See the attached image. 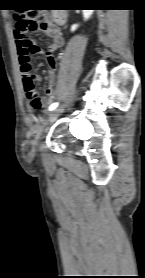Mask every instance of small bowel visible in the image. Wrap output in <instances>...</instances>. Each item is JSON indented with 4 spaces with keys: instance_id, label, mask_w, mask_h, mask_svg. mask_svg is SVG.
<instances>
[{
    "instance_id": "obj_1",
    "label": "small bowel",
    "mask_w": 145,
    "mask_h": 278,
    "mask_svg": "<svg viewBox=\"0 0 145 278\" xmlns=\"http://www.w3.org/2000/svg\"><path fill=\"white\" fill-rule=\"evenodd\" d=\"M46 35L51 39L50 44L47 46V49L45 51V58L47 60V64L49 66V88L47 89V94L50 95L53 89L54 84L56 83V67H57V61L53 55L52 59H49L47 57V53L51 52L54 53L57 49L61 48L64 45V37L62 35V32L58 25H50L45 29ZM28 37L27 31H23L19 35L15 33V39L17 47L22 42L21 38ZM20 59V74H21V80L24 84V75L25 72L23 71V67L30 63L29 62V54H19ZM31 72V67L29 69Z\"/></svg>"
}]
</instances>
